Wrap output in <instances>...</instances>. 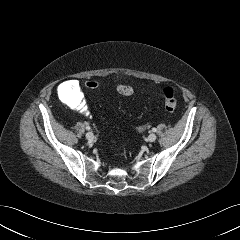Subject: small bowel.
I'll use <instances>...</instances> for the list:
<instances>
[{
	"label": "small bowel",
	"instance_id": "small-bowel-1",
	"mask_svg": "<svg viewBox=\"0 0 240 240\" xmlns=\"http://www.w3.org/2000/svg\"><path fill=\"white\" fill-rule=\"evenodd\" d=\"M60 93L72 108L78 110L84 115L88 114V109L83 99L79 82L77 80H69L64 82L60 86ZM145 129V126H139L136 130L139 133H142Z\"/></svg>",
	"mask_w": 240,
	"mask_h": 240
}]
</instances>
